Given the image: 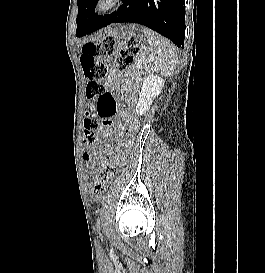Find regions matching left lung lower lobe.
I'll use <instances>...</instances> for the list:
<instances>
[{"label": "left lung lower lobe", "instance_id": "obj_1", "mask_svg": "<svg viewBox=\"0 0 265 273\" xmlns=\"http://www.w3.org/2000/svg\"><path fill=\"white\" fill-rule=\"evenodd\" d=\"M124 22L147 26L178 47H184L185 0H123V5L110 15L89 13L76 36L82 37L109 24Z\"/></svg>", "mask_w": 265, "mask_h": 273}]
</instances>
